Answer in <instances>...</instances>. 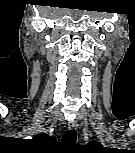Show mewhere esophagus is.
I'll list each match as a JSON object with an SVG mask.
<instances>
[{"label":"esophagus","mask_w":135,"mask_h":153,"mask_svg":"<svg viewBox=\"0 0 135 153\" xmlns=\"http://www.w3.org/2000/svg\"><path fill=\"white\" fill-rule=\"evenodd\" d=\"M78 127V124H77V122H75V121H70L69 123H68V128L69 129H76Z\"/></svg>","instance_id":"1"}]
</instances>
